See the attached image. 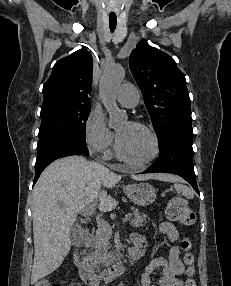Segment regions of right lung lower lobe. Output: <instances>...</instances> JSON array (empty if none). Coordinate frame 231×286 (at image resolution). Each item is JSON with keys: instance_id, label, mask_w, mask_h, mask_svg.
Instances as JSON below:
<instances>
[{"instance_id": "right-lung-lower-lobe-1", "label": "right lung lower lobe", "mask_w": 231, "mask_h": 286, "mask_svg": "<svg viewBox=\"0 0 231 286\" xmlns=\"http://www.w3.org/2000/svg\"><path fill=\"white\" fill-rule=\"evenodd\" d=\"M37 150L38 156L35 163V178L33 184L36 183L41 172L54 160L70 155L89 154L85 141L73 137L52 139L37 146Z\"/></svg>"}]
</instances>
